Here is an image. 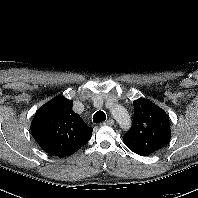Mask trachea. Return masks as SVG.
<instances>
[{"mask_svg":"<svg viewBox=\"0 0 198 198\" xmlns=\"http://www.w3.org/2000/svg\"><path fill=\"white\" fill-rule=\"evenodd\" d=\"M106 120V114L103 111H97L93 116V122L99 123Z\"/></svg>","mask_w":198,"mask_h":198,"instance_id":"1","label":"trachea"}]
</instances>
